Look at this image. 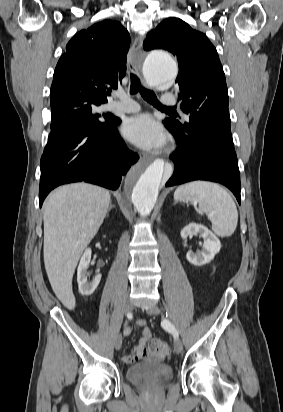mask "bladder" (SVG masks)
I'll list each match as a JSON object with an SVG mask.
<instances>
[{
    "label": "bladder",
    "instance_id": "1",
    "mask_svg": "<svg viewBox=\"0 0 283 412\" xmlns=\"http://www.w3.org/2000/svg\"><path fill=\"white\" fill-rule=\"evenodd\" d=\"M173 375L172 367L164 362L139 363L126 370L127 380L138 386H143L148 381L163 385L171 381Z\"/></svg>",
    "mask_w": 283,
    "mask_h": 412
}]
</instances>
